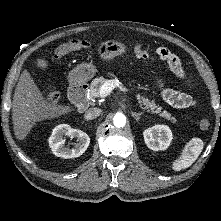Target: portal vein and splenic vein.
<instances>
[{"mask_svg":"<svg viewBox=\"0 0 221 221\" xmlns=\"http://www.w3.org/2000/svg\"><path fill=\"white\" fill-rule=\"evenodd\" d=\"M115 87H118L121 91L126 92V88L122 85L119 80H107L100 88L99 95L105 97L109 95Z\"/></svg>","mask_w":221,"mask_h":221,"instance_id":"portal-vein-and-splenic-vein-1","label":"portal vein and splenic vein"}]
</instances>
